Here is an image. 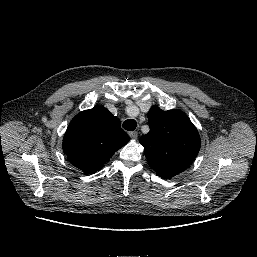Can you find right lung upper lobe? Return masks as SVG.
<instances>
[{"label": "right lung upper lobe", "mask_w": 257, "mask_h": 257, "mask_svg": "<svg viewBox=\"0 0 257 257\" xmlns=\"http://www.w3.org/2000/svg\"><path fill=\"white\" fill-rule=\"evenodd\" d=\"M129 140L119 119L106 108L95 106L72 119L62 145L68 161L90 174L101 170Z\"/></svg>", "instance_id": "1"}]
</instances>
